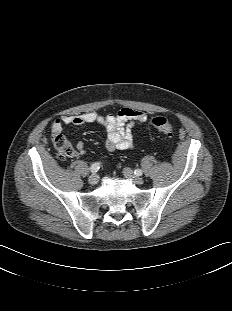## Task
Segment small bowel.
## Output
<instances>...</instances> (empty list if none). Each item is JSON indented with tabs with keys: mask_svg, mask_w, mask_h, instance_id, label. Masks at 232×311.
Returning <instances> with one entry per match:
<instances>
[{
	"mask_svg": "<svg viewBox=\"0 0 232 311\" xmlns=\"http://www.w3.org/2000/svg\"><path fill=\"white\" fill-rule=\"evenodd\" d=\"M147 120L145 112L122 108L116 115H100L96 112H88L81 115H64L51 123L53 135L61 134L64 125L82 126L89 123H97L106 131L105 147L109 151L126 150L133 147L132 128L136 123ZM78 151L84 150V143H77Z\"/></svg>",
	"mask_w": 232,
	"mask_h": 311,
	"instance_id": "c3829d8e",
	"label": "small bowel"
}]
</instances>
